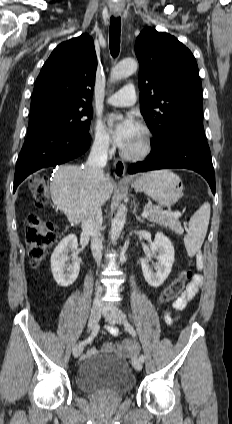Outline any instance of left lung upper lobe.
I'll use <instances>...</instances> for the list:
<instances>
[{
    "label": "left lung upper lobe",
    "instance_id": "5c2ea615",
    "mask_svg": "<svg viewBox=\"0 0 232 424\" xmlns=\"http://www.w3.org/2000/svg\"><path fill=\"white\" fill-rule=\"evenodd\" d=\"M140 110L154 135L171 125L203 116L202 84L191 51L174 36L146 28L136 39Z\"/></svg>",
    "mask_w": 232,
    "mask_h": 424
}]
</instances>
